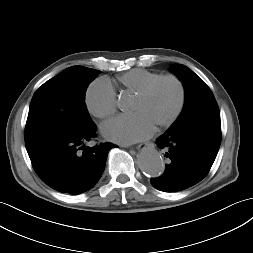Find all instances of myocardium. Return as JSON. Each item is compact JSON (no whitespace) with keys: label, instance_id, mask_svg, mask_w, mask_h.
Wrapping results in <instances>:
<instances>
[{"label":"myocardium","instance_id":"1","mask_svg":"<svg viewBox=\"0 0 253 253\" xmlns=\"http://www.w3.org/2000/svg\"><path fill=\"white\" fill-rule=\"evenodd\" d=\"M164 81H170L176 85L177 90H178V102L173 113L166 120L157 124V126L160 128H165L172 125L178 119V117L180 116V114L182 113L184 109L185 101H186V89L182 80L179 77L175 75H171V74L161 75L158 78L147 83L141 90H139L136 93L137 97L145 98L152 92V90L157 85H159L160 83Z\"/></svg>","mask_w":253,"mask_h":253}]
</instances>
